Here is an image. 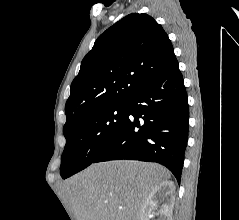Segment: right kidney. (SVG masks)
<instances>
[{
    "mask_svg": "<svg viewBox=\"0 0 239 220\" xmlns=\"http://www.w3.org/2000/svg\"><path fill=\"white\" fill-rule=\"evenodd\" d=\"M158 199L162 202L158 210V220H171L175 202V185L174 182L168 180L152 189L142 207L140 220L150 219L151 213L158 209Z\"/></svg>",
    "mask_w": 239,
    "mask_h": 220,
    "instance_id": "obj_1",
    "label": "right kidney"
}]
</instances>
